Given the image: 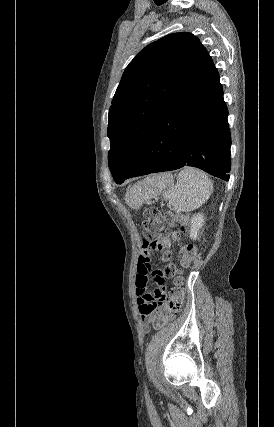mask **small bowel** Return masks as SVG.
Segmentation results:
<instances>
[{
    "label": "small bowel",
    "instance_id": "1",
    "mask_svg": "<svg viewBox=\"0 0 274 427\" xmlns=\"http://www.w3.org/2000/svg\"><path fill=\"white\" fill-rule=\"evenodd\" d=\"M168 246L169 245L160 246L159 244H143L139 246L140 254L136 269L135 294L137 298L139 320L144 330H147L149 324H153L151 322V315L155 314L154 306L160 305L162 300L165 299L164 295H161L159 298L156 292L160 291L162 294H167L169 292V287L164 283L165 278H175L177 276V271L174 269L175 263L173 261H168L165 265L167 269H155L153 275L148 277V272L151 270L149 266V253L164 251L168 257H171L174 254L173 246L170 245V248ZM148 281L151 284H156L157 287L154 288L155 292H149L147 290Z\"/></svg>",
    "mask_w": 274,
    "mask_h": 427
}]
</instances>
